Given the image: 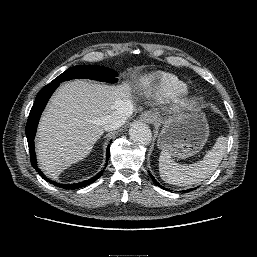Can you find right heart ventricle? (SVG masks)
Returning a JSON list of instances; mask_svg holds the SVG:
<instances>
[{
  "mask_svg": "<svg viewBox=\"0 0 257 257\" xmlns=\"http://www.w3.org/2000/svg\"><path fill=\"white\" fill-rule=\"evenodd\" d=\"M186 89L187 85L183 81L169 73H158L147 84L148 94L159 99L173 98Z\"/></svg>",
  "mask_w": 257,
  "mask_h": 257,
  "instance_id": "1",
  "label": "right heart ventricle"
}]
</instances>
